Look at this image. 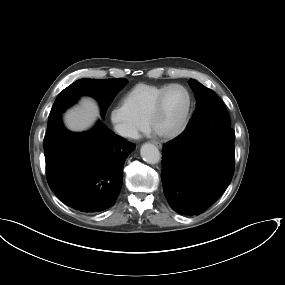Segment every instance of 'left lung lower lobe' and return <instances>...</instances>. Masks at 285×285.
<instances>
[{
	"label": "left lung lower lobe",
	"instance_id": "left-lung-lower-lobe-1",
	"mask_svg": "<svg viewBox=\"0 0 285 285\" xmlns=\"http://www.w3.org/2000/svg\"><path fill=\"white\" fill-rule=\"evenodd\" d=\"M222 107V106H220ZM235 131L217 122L186 128L162 150V184L171 208L199 215L230 184L235 167Z\"/></svg>",
	"mask_w": 285,
	"mask_h": 285
}]
</instances>
